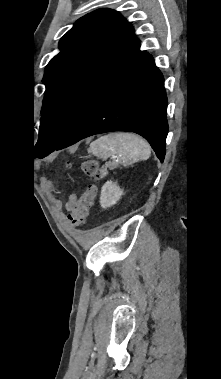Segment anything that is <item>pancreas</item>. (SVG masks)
<instances>
[{"label":"pancreas","instance_id":"pancreas-1","mask_svg":"<svg viewBox=\"0 0 221 379\" xmlns=\"http://www.w3.org/2000/svg\"><path fill=\"white\" fill-rule=\"evenodd\" d=\"M115 167H116V165L113 164V163H106L105 165L102 166V168H103V170H104V173H106L105 170H106L107 168L114 169Z\"/></svg>","mask_w":221,"mask_h":379}]
</instances>
